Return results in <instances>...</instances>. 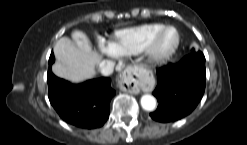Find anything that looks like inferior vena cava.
Returning a JSON list of instances; mask_svg holds the SVG:
<instances>
[{
  "label": "inferior vena cava",
  "mask_w": 247,
  "mask_h": 145,
  "mask_svg": "<svg viewBox=\"0 0 247 145\" xmlns=\"http://www.w3.org/2000/svg\"><path fill=\"white\" fill-rule=\"evenodd\" d=\"M114 63L109 60H104L99 64V71L104 76H109L113 73Z\"/></svg>",
  "instance_id": "1"
}]
</instances>
